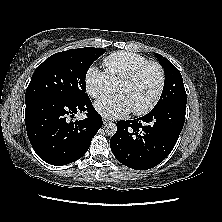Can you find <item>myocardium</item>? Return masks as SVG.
<instances>
[{"instance_id": "f54148a6", "label": "myocardium", "mask_w": 222, "mask_h": 222, "mask_svg": "<svg viewBox=\"0 0 222 222\" xmlns=\"http://www.w3.org/2000/svg\"><path fill=\"white\" fill-rule=\"evenodd\" d=\"M149 66H154L157 68L158 73H159V85H158L156 93L154 94L152 99L146 105H144L141 108L132 110V113L136 114V115H142V114L149 112L159 101V99L162 95L163 89H164V85H165V72H164L162 65L156 61H147V62L139 65L138 67H136L117 86V90H118L121 86L132 83L140 75V73L145 68H147Z\"/></svg>"}]
</instances>
